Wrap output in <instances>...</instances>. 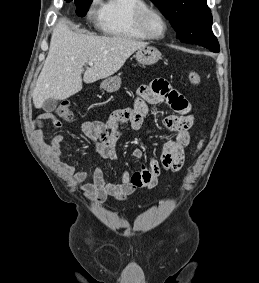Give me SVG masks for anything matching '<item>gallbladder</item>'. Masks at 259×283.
<instances>
[{"mask_svg": "<svg viewBox=\"0 0 259 283\" xmlns=\"http://www.w3.org/2000/svg\"><path fill=\"white\" fill-rule=\"evenodd\" d=\"M57 107V101L53 99H49L44 102L42 109L46 112H52L56 109Z\"/></svg>", "mask_w": 259, "mask_h": 283, "instance_id": "1", "label": "gallbladder"}]
</instances>
